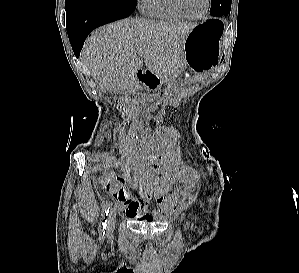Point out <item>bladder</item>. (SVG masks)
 Listing matches in <instances>:
<instances>
[{
  "label": "bladder",
  "instance_id": "obj_1",
  "mask_svg": "<svg viewBox=\"0 0 299 273\" xmlns=\"http://www.w3.org/2000/svg\"><path fill=\"white\" fill-rule=\"evenodd\" d=\"M157 217H158V218H157V221H162V220H164V218H165V216L162 215V214L158 215Z\"/></svg>",
  "mask_w": 299,
  "mask_h": 273
}]
</instances>
